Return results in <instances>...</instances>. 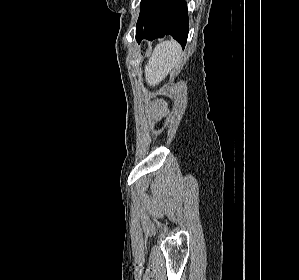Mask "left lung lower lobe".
Wrapping results in <instances>:
<instances>
[{
    "label": "left lung lower lobe",
    "instance_id": "0a47b994",
    "mask_svg": "<svg viewBox=\"0 0 299 280\" xmlns=\"http://www.w3.org/2000/svg\"><path fill=\"white\" fill-rule=\"evenodd\" d=\"M188 12L185 0H141L136 25V40H153L172 35L182 47L188 36Z\"/></svg>",
    "mask_w": 299,
    "mask_h": 280
}]
</instances>
